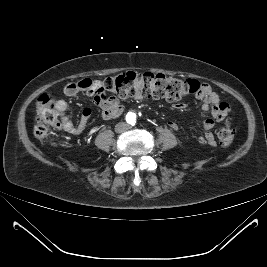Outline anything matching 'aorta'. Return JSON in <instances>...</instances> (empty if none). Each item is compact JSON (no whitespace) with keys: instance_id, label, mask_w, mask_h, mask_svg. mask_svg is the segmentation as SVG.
<instances>
[{"instance_id":"aorta-1","label":"aorta","mask_w":267,"mask_h":267,"mask_svg":"<svg viewBox=\"0 0 267 267\" xmlns=\"http://www.w3.org/2000/svg\"><path fill=\"white\" fill-rule=\"evenodd\" d=\"M127 120L130 122V123H135L136 122V115L134 113H131L127 116Z\"/></svg>"}]
</instances>
